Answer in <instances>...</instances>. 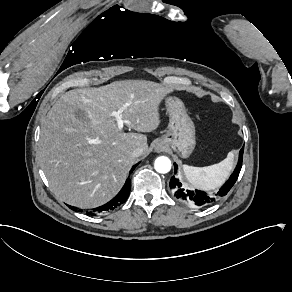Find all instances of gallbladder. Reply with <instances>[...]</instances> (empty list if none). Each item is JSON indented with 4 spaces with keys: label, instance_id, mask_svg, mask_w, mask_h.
I'll use <instances>...</instances> for the list:
<instances>
[{
    "label": "gallbladder",
    "instance_id": "bac80fb5",
    "mask_svg": "<svg viewBox=\"0 0 292 292\" xmlns=\"http://www.w3.org/2000/svg\"><path fill=\"white\" fill-rule=\"evenodd\" d=\"M75 117L79 120H86L85 112L81 109H77L75 112Z\"/></svg>",
    "mask_w": 292,
    "mask_h": 292
}]
</instances>
